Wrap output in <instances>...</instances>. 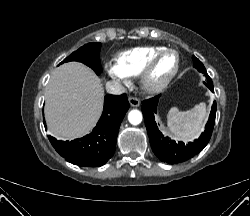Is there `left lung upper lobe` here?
<instances>
[{
    "instance_id": "obj_1",
    "label": "left lung upper lobe",
    "mask_w": 250,
    "mask_h": 216,
    "mask_svg": "<svg viewBox=\"0 0 250 216\" xmlns=\"http://www.w3.org/2000/svg\"><path fill=\"white\" fill-rule=\"evenodd\" d=\"M193 60H194V67L199 72H202V73L206 72V69H205L204 65L202 64V62L199 59H197L195 56H193Z\"/></svg>"
}]
</instances>
